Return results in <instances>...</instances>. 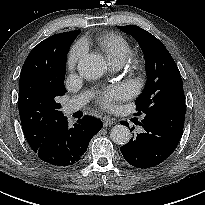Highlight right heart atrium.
I'll list each match as a JSON object with an SVG mask.
<instances>
[{
	"instance_id": "right-heart-atrium-1",
	"label": "right heart atrium",
	"mask_w": 205,
	"mask_h": 205,
	"mask_svg": "<svg viewBox=\"0 0 205 205\" xmlns=\"http://www.w3.org/2000/svg\"><path fill=\"white\" fill-rule=\"evenodd\" d=\"M84 52H85V47L82 43L77 42L72 46L71 50L69 51L68 59H67V63L70 69L75 68V66L77 65L79 59L82 57Z\"/></svg>"
}]
</instances>
